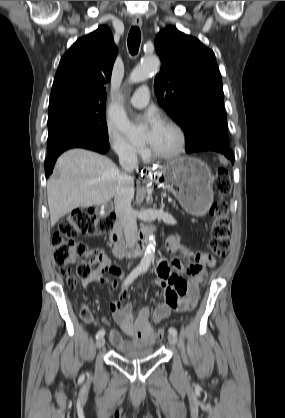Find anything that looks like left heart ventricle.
<instances>
[{
    "instance_id": "obj_1",
    "label": "left heart ventricle",
    "mask_w": 285,
    "mask_h": 418,
    "mask_svg": "<svg viewBox=\"0 0 285 418\" xmlns=\"http://www.w3.org/2000/svg\"><path fill=\"white\" fill-rule=\"evenodd\" d=\"M148 139L150 140V136H148ZM177 143L178 137L176 132L164 125L151 144L155 150L168 153L176 148Z\"/></svg>"
}]
</instances>
